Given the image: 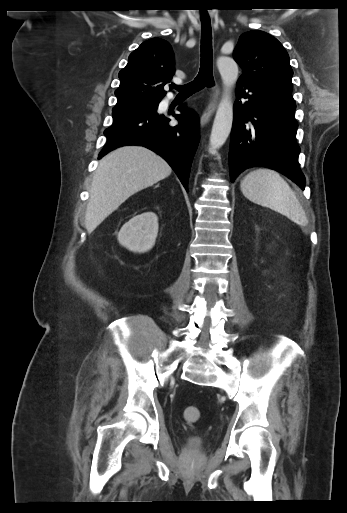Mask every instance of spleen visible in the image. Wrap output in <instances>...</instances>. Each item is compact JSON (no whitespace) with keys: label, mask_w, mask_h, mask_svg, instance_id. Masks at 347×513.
I'll use <instances>...</instances> for the list:
<instances>
[{"label":"spleen","mask_w":347,"mask_h":513,"mask_svg":"<svg viewBox=\"0 0 347 513\" xmlns=\"http://www.w3.org/2000/svg\"><path fill=\"white\" fill-rule=\"evenodd\" d=\"M242 194L251 202L268 207L300 225L306 214L295 192L274 170L260 168L249 172L241 181Z\"/></svg>","instance_id":"1"}]
</instances>
